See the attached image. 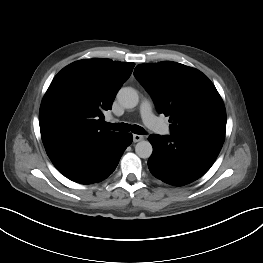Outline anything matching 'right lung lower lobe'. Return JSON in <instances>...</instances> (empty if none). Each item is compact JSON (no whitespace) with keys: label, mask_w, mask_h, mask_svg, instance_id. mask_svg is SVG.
Wrapping results in <instances>:
<instances>
[{"label":"right lung lower lobe","mask_w":263,"mask_h":263,"mask_svg":"<svg viewBox=\"0 0 263 263\" xmlns=\"http://www.w3.org/2000/svg\"><path fill=\"white\" fill-rule=\"evenodd\" d=\"M131 142V133H118L104 142L74 148L51 161L64 176L74 182L98 183L114 172Z\"/></svg>","instance_id":"right-lung-lower-lobe-1"}]
</instances>
